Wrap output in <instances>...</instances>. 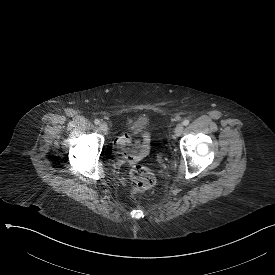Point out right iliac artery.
<instances>
[{"label":"right iliac artery","mask_w":275,"mask_h":275,"mask_svg":"<svg viewBox=\"0 0 275 275\" xmlns=\"http://www.w3.org/2000/svg\"><path fill=\"white\" fill-rule=\"evenodd\" d=\"M94 123H95L96 125H98V124H100V121H99L98 119H96V120L94 121Z\"/></svg>","instance_id":"right-iliac-artery-1"}]
</instances>
